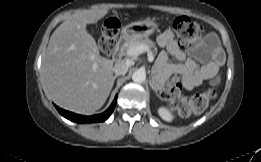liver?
<instances>
[{
  "label": "liver",
  "mask_w": 261,
  "mask_h": 162,
  "mask_svg": "<svg viewBox=\"0 0 261 162\" xmlns=\"http://www.w3.org/2000/svg\"><path fill=\"white\" fill-rule=\"evenodd\" d=\"M108 10L73 14L50 37L42 64L44 90L66 110L93 113L104 105L113 87V61L99 55L95 39L86 30Z\"/></svg>",
  "instance_id": "obj_1"
}]
</instances>
